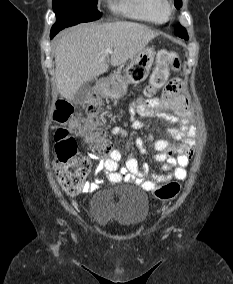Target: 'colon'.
I'll use <instances>...</instances> for the list:
<instances>
[{"label": "colon", "instance_id": "colon-1", "mask_svg": "<svg viewBox=\"0 0 233 284\" xmlns=\"http://www.w3.org/2000/svg\"><path fill=\"white\" fill-rule=\"evenodd\" d=\"M156 68L145 88V96H153L167 82L169 71L178 70L180 62L175 52L162 49L158 51ZM101 107V101L92 100L88 107V130L85 141L90 148L99 154L107 155L112 151L111 143L106 138V131L97 120V114ZM74 113V107L67 101L58 100L55 105L54 119L59 123H65ZM54 149L56 156L55 174L61 188L67 193L79 191L90 170V162L77 156V144L74 136L65 128H59L54 133ZM180 185L169 182L157 186L153 193L161 200L175 198L180 192Z\"/></svg>", "mask_w": 233, "mask_h": 284}]
</instances>
